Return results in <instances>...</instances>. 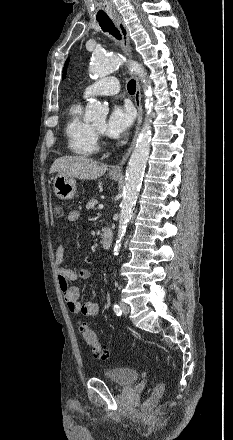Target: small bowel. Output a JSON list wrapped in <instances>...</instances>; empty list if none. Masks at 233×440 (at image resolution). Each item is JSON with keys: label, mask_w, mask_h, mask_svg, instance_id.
<instances>
[{"label": "small bowel", "mask_w": 233, "mask_h": 440, "mask_svg": "<svg viewBox=\"0 0 233 440\" xmlns=\"http://www.w3.org/2000/svg\"><path fill=\"white\" fill-rule=\"evenodd\" d=\"M80 218L78 210H71L67 214L69 222H76ZM65 249L62 244L58 245L55 250V267L58 275L59 286L63 297L67 303L68 309L74 314H82L87 317H95L100 312V305L98 302L89 301L81 302L79 290L71 285L80 279H89L91 272L89 269H70L64 266Z\"/></svg>", "instance_id": "obj_1"}]
</instances>
